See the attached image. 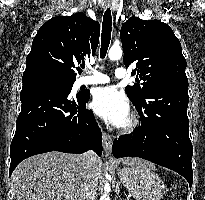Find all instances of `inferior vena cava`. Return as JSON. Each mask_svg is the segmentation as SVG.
Here are the masks:
<instances>
[{
    "label": "inferior vena cava",
    "mask_w": 205,
    "mask_h": 200,
    "mask_svg": "<svg viewBox=\"0 0 205 200\" xmlns=\"http://www.w3.org/2000/svg\"><path fill=\"white\" fill-rule=\"evenodd\" d=\"M96 155L88 151L81 155V200H96L98 178L95 173Z\"/></svg>",
    "instance_id": "inferior-vena-cava-1"
}]
</instances>
